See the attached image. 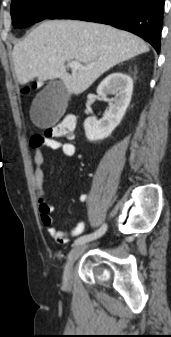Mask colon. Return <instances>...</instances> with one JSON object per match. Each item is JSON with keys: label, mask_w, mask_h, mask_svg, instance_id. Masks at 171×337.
Masks as SVG:
<instances>
[{"label": "colon", "mask_w": 171, "mask_h": 337, "mask_svg": "<svg viewBox=\"0 0 171 337\" xmlns=\"http://www.w3.org/2000/svg\"><path fill=\"white\" fill-rule=\"evenodd\" d=\"M28 91V88L26 89ZM75 131V119L71 116L65 117L60 123L50 126L45 131L49 138H70Z\"/></svg>", "instance_id": "colon-1"}]
</instances>
